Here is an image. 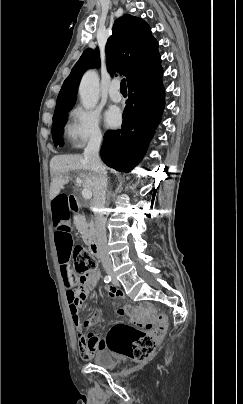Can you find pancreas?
Returning a JSON list of instances; mask_svg holds the SVG:
<instances>
[{"mask_svg":"<svg viewBox=\"0 0 243 404\" xmlns=\"http://www.w3.org/2000/svg\"><path fill=\"white\" fill-rule=\"evenodd\" d=\"M74 224L78 232H80L84 244H88V242H91L94 234L93 226H90L89 228L88 224H86V222H83L80 214L76 215Z\"/></svg>","mask_w":243,"mask_h":404,"instance_id":"obj_1","label":"pancreas"}]
</instances>
